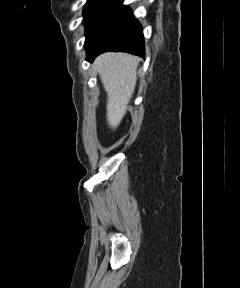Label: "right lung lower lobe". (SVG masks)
I'll list each match as a JSON object with an SVG mask.
<instances>
[{
  "label": "right lung lower lobe",
  "mask_w": 240,
  "mask_h": 288,
  "mask_svg": "<svg viewBox=\"0 0 240 288\" xmlns=\"http://www.w3.org/2000/svg\"><path fill=\"white\" fill-rule=\"evenodd\" d=\"M87 60L105 51H122L144 56V36L141 25L130 9L121 3L106 19L99 30L85 44Z\"/></svg>",
  "instance_id": "98d812e1"
}]
</instances>
